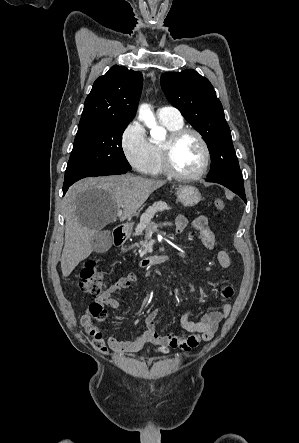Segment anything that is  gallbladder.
<instances>
[{"label": "gallbladder", "instance_id": "1", "mask_svg": "<svg viewBox=\"0 0 299 443\" xmlns=\"http://www.w3.org/2000/svg\"><path fill=\"white\" fill-rule=\"evenodd\" d=\"M93 251L96 253H105L112 246V237L108 231H98L92 238Z\"/></svg>", "mask_w": 299, "mask_h": 443}]
</instances>
